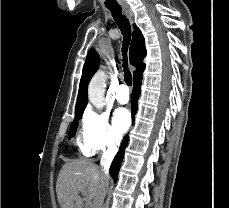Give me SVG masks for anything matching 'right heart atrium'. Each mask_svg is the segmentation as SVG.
I'll return each mask as SVG.
<instances>
[{
    "mask_svg": "<svg viewBox=\"0 0 229 208\" xmlns=\"http://www.w3.org/2000/svg\"><path fill=\"white\" fill-rule=\"evenodd\" d=\"M81 142L83 151L92 154L118 147L121 137L114 131L106 112L88 108L82 118Z\"/></svg>",
    "mask_w": 229,
    "mask_h": 208,
    "instance_id": "d8ad5b80",
    "label": "right heart atrium"
}]
</instances>
